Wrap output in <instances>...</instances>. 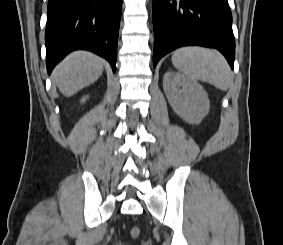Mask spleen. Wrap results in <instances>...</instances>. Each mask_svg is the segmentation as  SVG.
I'll return each mask as SVG.
<instances>
[{
    "instance_id": "3e777b00",
    "label": "spleen",
    "mask_w": 283,
    "mask_h": 245,
    "mask_svg": "<svg viewBox=\"0 0 283 245\" xmlns=\"http://www.w3.org/2000/svg\"><path fill=\"white\" fill-rule=\"evenodd\" d=\"M171 60L190 79L210 83L222 91H226L232 82L229 65L211 49L181 47L173 52Z\"/></svg>"
}]
</instances>
